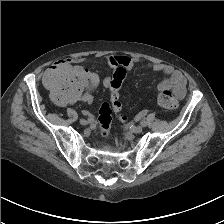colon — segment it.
Listing matches in <instances>:
<instances>
[{
	"label": "colon",
	"mask_w": 224,
	"mask_h": 224,
	"mask_svg": "<svg viewBox=\"0 0 224 224\" xmlns=\"http://www.w3.org/2000/svg\"><path fill=\"white\" fill-rule=\"evenodd\" d=\"M125 76V69L118 67L108 81L109 99L101 104L98 116L100 134L103 137L109 135L112 114L122 116L120 114L119 90ZM44 83L51 90L53 98L57 102L73 104L94 90L97 85V78L88 70L73 66L67 61H59L49 68L45 74ZM156 101L165 109H174L178 105L177 97L169 90L160 92Z\"/></svg>",
	"instance_id": "obj_1"
}]
</instances>
